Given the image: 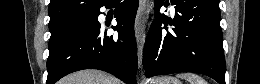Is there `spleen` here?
Segmentation results:
<instances>
[{
	"label": "spleen",
	"instance_id": "spleen-1",
	"mask_svg": "<svg viewBox=\"0 0 260 84\" xmlns=\"http://www.w3.org/2000/svg\"><path fill=\"white\" fill-rule=\"evenodd\" d=\"M178 77L186 79L190 84H207V82L202 77L194 73H181L178 74Z\"/></svg>",
	"mask_w": 260,
	"mask_h": 84
}]
</instances>
